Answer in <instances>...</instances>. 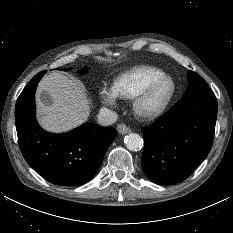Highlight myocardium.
Listing matches in <instances>:
<instances>
[{
  "instance_id": "myocardium-1",
  "label": "myocardium",
  "mask_w": 233,
  "mask_h": 233,
  "mask_svg": "<svg viewBox=\"0 0 233 233\" xmlns=\"http://www.w3.org/2000/svg\"><path fill=\"white\" fill-rule=\"evenodd\" d=\"M162 86H167L166 92L156 105L149 106V100ZM175 90V82L168 75H163L151 81L133 97V110L135 114L144 120H153L158 118L170 105L175 95Z\"/></svg>"
}]
</instances>
